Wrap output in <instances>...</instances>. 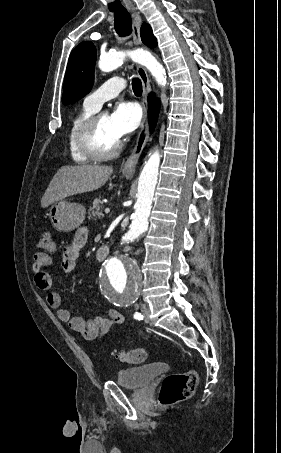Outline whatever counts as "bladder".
<instances>
[{
	"mask_svg": "<svg viewBox=\"0 0 281 453\" xmlns=\"http://www.w3.org/2000/svg\"><path fill=\"white\" fill-rule=\"evenodd\" d=\"M168 366L163 363H152L121 371L117 383L126 388L139 389L149 385L158 376L166 373Z\"/></svg>",
	"mask_w": 281,
	"mask_h": 453,
	"instance_id": "obj_1",
	"label": "bladder"
}]
</instances>
